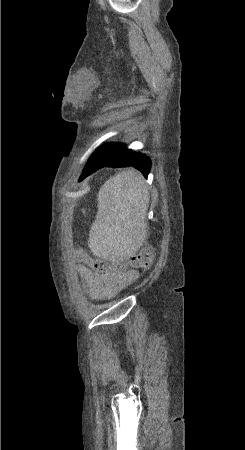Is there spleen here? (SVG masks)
Masks as SVG:
<instances>
[{"label":"spleen","mask_w":245,"mask_h":450,"mask_svg":"<svg viewBox=\"0 0 245 450\" xmlns=\"http://www.w3.org/2000/svg\"><path fill=\"white\" fill-rule=\"evenodd\" d=\"M97 201L90 250L109 261L129 258L142 246L148 229L149 193L143 176L134 169L117 173L102 185Z\"/></svg>","instance_id":"spleen-1"}]
</instances>
